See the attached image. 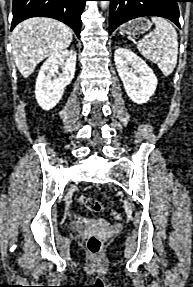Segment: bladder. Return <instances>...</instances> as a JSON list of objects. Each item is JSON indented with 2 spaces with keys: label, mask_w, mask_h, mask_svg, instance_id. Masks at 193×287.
Segmentation results:
<instances>
[{
  "label": "bladder",
  "mask_w": 193,
  "mask_h": 287,
  "mask_svg": "<svg viewBox=\"0 0 193 287\" xmlns=\"http://www.w3.org/2000/svg\"><path fill=\"white\" fill-rule=\"evenodd\" d=\"M79 225H80V223L75 220V221L70 223V228L71 229H76V228H78Z\"/></svg>",
  "instance_id": "1"
}]
</instances>
